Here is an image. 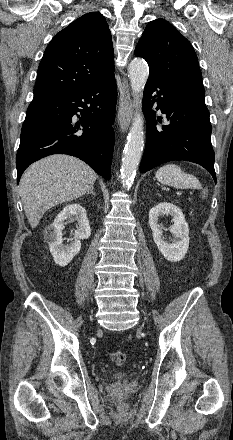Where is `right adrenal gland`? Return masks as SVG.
Returning <instances> with one entry per match:
<instances>
[{
    "instance_id": "obj_1",
    "label": "right adrenal gland",
    "mask_w": 233,
    "mask_h": 440,
    "mask_svg": "<svg viewBox=\"0 0 233 440\" xmlns=\"http://www.w3.org/2000/svg\"><path fill=\"white\" fill-rule=\"evenodd\" d=\"M94 188L92 187L91 189H90V191H88V193L87 194H92L93 196H96V194L94 193Z\"/></svg>"
}]
</instances>
